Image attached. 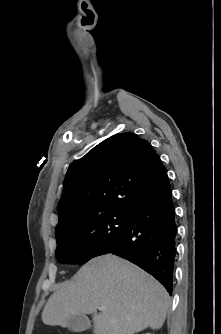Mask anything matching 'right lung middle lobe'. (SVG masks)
<instances>
[{"instance_id":"right-lung-middle-lobe-1","label":"right lung middle lobe","mask_w":221,"mask_h":334,"mask_svg":"<svg viewBox=\"0 0 221 334\" xmlns=\"http://www.w3.org/2000/svg\"><path fill=\"white\" fill-rule=\"evenodd\" d=\"M129 217L130 213L110 212L69 227L56 237L57 259L60 262L85 264L119 242Z\"/></svg>"}]
</instances>
